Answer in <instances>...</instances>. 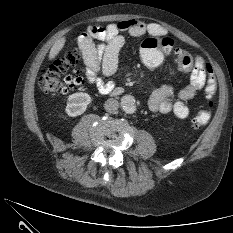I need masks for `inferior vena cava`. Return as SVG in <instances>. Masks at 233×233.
I'll list each match as a JSON object with an SVG mask.
<instances>
[{
    "label": "inferior vena cava",
    "instance_id": "inferior-vena-cava-1",
    "mask_svg": "<svg viewBox=\"0 0 233 233\" xmlns=\"http://www.w3.org/2000/svg\"><path fill=\"white\" fill-rule=\"evenodd\" d=\"M104 108L109 113H114L119 108V102L113 98L105 101Z\"/></svg>",
    "mask_w": 233,
    "mask_h": 233
}]
</instances>
